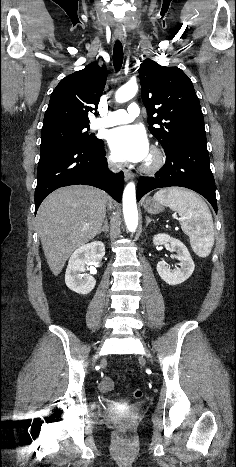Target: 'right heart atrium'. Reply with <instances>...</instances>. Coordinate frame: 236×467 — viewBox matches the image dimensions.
<instances>
[{
    "label": "right heart atrium",
    "mask_w": 236,
    "mask_h": 467,
    "mask_svg": "<svg viewBox=\"0 0 236 467\" xmlns=\"http://www.w3.org/2000/svg\"><path fill=\"white\" fill-rule=\"evenodd\" d=\"M114 160H115V159H114L113 157H111V161L114 162Z\"/></svg>",
    "instance_id": "d8ad5b80"
}]
</instances>
